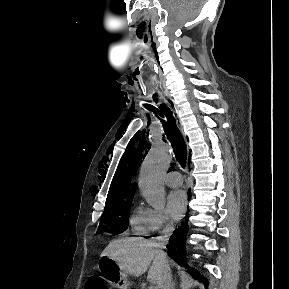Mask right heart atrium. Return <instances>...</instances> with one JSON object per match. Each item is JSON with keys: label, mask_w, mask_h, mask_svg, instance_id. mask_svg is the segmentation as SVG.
<instances>
[{"label": "right heart atrium", "mask_w": 289, "mask_h": 289, "mask_svg": "<svg viewBox=\"0 0 289 289\" xmlns=\"http://www.w3.org/2000/svg\"><path fill=\"white\" fill-rule=\"evenodd\" d=\"M172 227V222L165 210L155 209L152 210L151 215V231L163 232Z\"/></svg>", "instance_id": "d8ad5b80"}]
</instances>
